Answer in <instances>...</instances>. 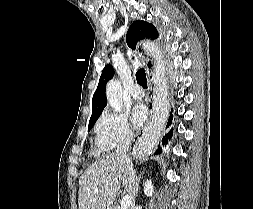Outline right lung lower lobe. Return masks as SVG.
I'll list each match as a JSON object with an SVG mask.
<instances>
[{"instance_id":"obj_1","label":"right lung lower lobe","mask_w":253,"mask_h":209,"mask_svg":"<svg viewBox=\"0 0 253 209\" xmlns=\"http://www.w3.org/2000/svg\"><path fill=\"white\" fill-rule=\"evenodd\" d=\"M172 119H173V116H172V114H170V117H169V120H168V122H167L166 128H168L169 125H171ZM172 135H173V131H172V130H170L168 133H166V134L164 135L163 139H162V144L164 145L165 143H167V140H170L171 137H172ZM161 152H162V148H161V146H160V144H159V146H158V148H157L155 154H160Z\"/></svg>"}]
</instances>
